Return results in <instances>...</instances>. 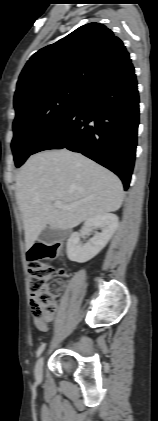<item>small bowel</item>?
I'll use <instances>...</instances> for the list:
<instances>
[{
  "mask_svg": "<svg viewBox=\"0 0 158 421\" xmlns=\"http://www.w3.org/2000/svg\"><path fill=\"white\" fill-rule=\"evenodd\" d=\"M53 316H50L46 319L40 320L37 318L33 319L34 325L39 331L46 332L49 330V323L52 321Z\"/></svg>",
  "mask_w": 158,
  "mask_h": 421,
  "instance_id": "obj_1",
  "label": "small bowel"
}]
</instances>
